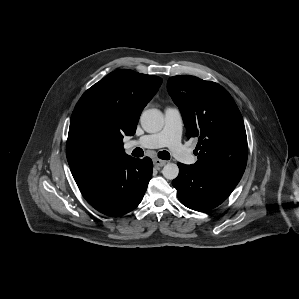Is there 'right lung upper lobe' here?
Returning <instances> with one entry per match:
<instances>
[{
    "label": "right lung upper lobe",
    "instance_id": "right-lung-upper-lobe-1",
    "mask_svg": "<svg viewBox=\"0 0 299 299\" xmlns=\"http://www.w3.org/2000/svg\"><path fill=\"white\" fill-rule=\"evenodd\" d=\"M161 83L160 77L121 69L111 72L85 91L72 114L95 108L105 116L112 133L110 145L93 164L128 156L123 148V136L134 135L143 108Z\"/></svg>",
    "mask_w": 299,
    "mask_h": 299
}]
</instances>
